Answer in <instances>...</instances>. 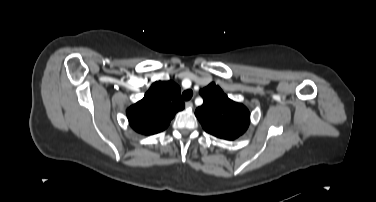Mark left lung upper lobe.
I'll return each instance as SVG.
<instances>
[{
  "label": "left lung upper lobe",
  "mask_w": 376,
  "mask_h": 202,
  "mask_svg": "<svg viewBox=\"0 0 376 202\" xmlns=\"http://www.w3.org/2000/svg\"><path fill=\"white\" fill-rule=\"evenodd\" d=\"M199 93L204 102L196 109L195 115L206 132L218 138L234 140L247 130L250 114L244 105L229 99L215 83Z\"/></svg>",
  "instance_id": "left-lung-upper-lobe-1"
}]
</instances>
